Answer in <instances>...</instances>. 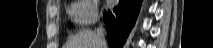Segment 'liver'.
<instances>
[{"mask_svg": "<svg viewBox=\"0 0 213 48\" xmlns=\"http://www.w3.org/2000/svg\"><path fill=\"white\" fill-rule=\"evenodd\" d=\"M65 48H100L96 33L91 30H83L71 37Z\"/></svg>", "mask_w": 213, "mask_h": 48, "instance_id": "1", "label": "liver"}]
</instances>
